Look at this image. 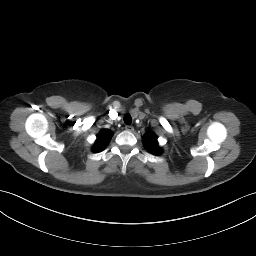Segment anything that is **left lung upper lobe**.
Wrapping results in <instances>:
<instances>
[{"mask_svg":"<svg viewBox=\"0 0 256 256\" xmlns=\"http://www.w3.org/2000/svg\"><path fill=\"white\" fill-rule=\"evenodd\" d=\"M144 145L147 147V149L150 152H153L155 154L161 153L160 150H158V142H157V136L151 132H148L144 135Z\"/></svg>","mask_w":256,"mask_h":256,"instance_id":"left-lung-upper-lobe-1","label":"left lung upper lobe"}]
</instances>
